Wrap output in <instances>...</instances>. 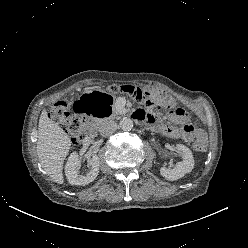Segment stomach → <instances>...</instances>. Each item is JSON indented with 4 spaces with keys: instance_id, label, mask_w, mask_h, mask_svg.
I'll list each match as a JSON object with an SVG mask.
<instances>
[{
    "instance_id": "stomach-1",
    "label": "stomach",
    "mask_w": 248,
    "mask_h": 248,
    "mask_svg": "<svg viewBox=\"0 0 248 248\" xmlns=\"http://www.w3.org/2000/svg\"><path fill=\"white\" fill-rule=\"evenodd\" d=\"M114 109V102L110 95L96 88H89L79 92L73 100V110L81 118L90 115L100 120L109 118Z\"/></svg>"
}]
</instances>
